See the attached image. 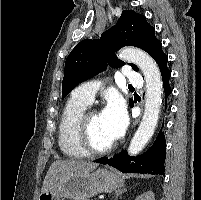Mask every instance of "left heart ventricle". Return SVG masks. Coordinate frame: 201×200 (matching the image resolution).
<instances>
[{
    "mask_svg": "<svg viewBox=\"0 0 201 200\" xmlns=\"http://www.w3.org/2000/svg\"><path fill=\"white\" fill-rule=\"evenodd\" d=\"M88 140L95 148H104L114 142L102 118V114L91 117L88 126Z\"/></svg>",
    "mask_w": 201,
    "mask_h": 200,
    "instance_id": "left-heart-ventricle-1",
    "label": "left heart ventricle"
}]
</instances>
